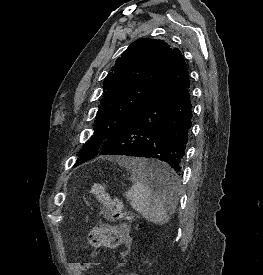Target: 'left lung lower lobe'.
<instances>
[{"label": "left lung lower lobe", "instance_id": "left-lung-lower-lobe-1", "mask_svg": "<svg viewBox=\"0 0 263 275\" xmlns=\"http://www.w3.org/2000/svg\"><path fill=\"white\" fill-rule=\"evenodd\" d=\"M192 94L188 68L177 50L170 67L150 97L125 127L107 139L102 155H126L164 161L170 172L146 169L147 180L172 191L191 129Z\"/></svg>", "mask_w": 263, "mask_h": 275}]
</instances>
